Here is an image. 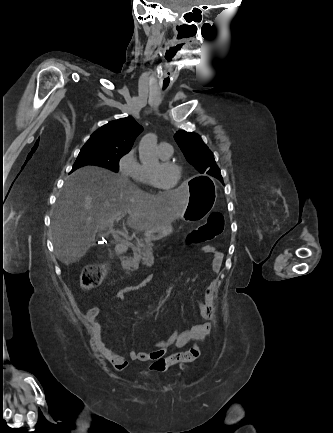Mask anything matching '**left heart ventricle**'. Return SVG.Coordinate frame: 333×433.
<instances>
[{"label": "left heart ventricle", "instance_id": "obj_1", "mask_svg": "<svg viewBox=\"0 0 333 433\" xmlns=\"http://www.w3.org/2000/svg\"><path fill=\"white\" fill-rule=\"evenodd\" d=\"M152 170L157 177L158 182L160 185L167 189H171L177 180V171L174 168L171 167H164L161 166L160 162H156L149 168Z\"/></svg>", "mask_w": 333, "mask_h": 433}]
</instances>
